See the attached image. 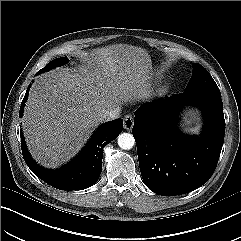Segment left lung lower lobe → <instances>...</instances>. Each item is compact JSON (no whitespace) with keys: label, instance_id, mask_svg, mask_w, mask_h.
Here are the masks:
<instances>
[{"label":"left lung lower lobe","instance_id":"obj_1","mask_svg":"<svg viewBox=\"0 0 241 241\" xmlns=\"http://www.w3.org/2000/svg\"><path fill=\"white\" fill-rule=\"evenodd\" d=\"M196 104L205 125L200 136L188 138L176 127L183 104ZM133 136L145 185L163 196L188 193L205 184L221 153L225 120L220 92L185 91L145 103L135 112Z\"/></svg>","mask_w":241,"mask_h":241}]
</instances>
